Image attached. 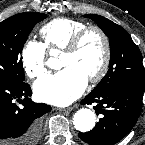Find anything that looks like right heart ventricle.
<instances>
[{"instance_id":"1","label":"right heart ventricle","mask_w":145,"mask_h":145,"mask_svg":"<svg viewBox=\"0 0 145 145\" xmlns=\"http://www.w3.org/2000/svg\"><path fill=\"white\" fill-rule=\"evenodd\" d=\"M86 26L84 21L78 19L54 18L40 29V34L44 39V47L48 50H63L74 34Z\"/></svg>"}]
</instances>
